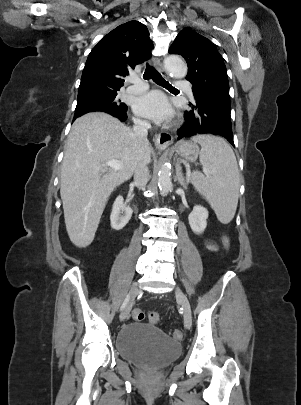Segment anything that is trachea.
Returning <instances> with one entry per match:
<instances>
[{
    "instance_id": "1",
    "label": "trachea",
    "mask_w": 301,
    "mask_h": 405,
    "mask_svg": "<svg viewBox=\"0 0 301 405\" xmlns=\"http://www.w3.org/2000/svg\"><path fill=\"white\" fill-rule=\"evenodd\" d=\"M143 78L145 80L152 79L156 84L168 89V90H177L171 84H169L159 72H157L152 66L147 64Z\"/></svg>"
}]
</instances>
